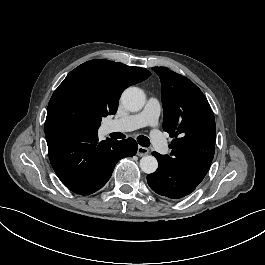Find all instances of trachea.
Instances as JSON below:
<instances>
[{"label":"trachea","instance_id":"trachea-1","mask_svg":"<svg viewBox=\"0 0 265 265\" xmlns=\"http://www.w3.org/2000/svg\"><path fill=\"white\" fill-rule=\"evenodd\" d=\"M137 141L143 147H148L150 145V140L143 135L138 136Z\"/></svg>","mask_w":265,"mask_h":265}]
</instances>
